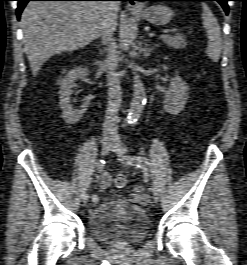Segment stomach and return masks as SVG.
I'll use <instances>...</instances> for the list:
<instances>
[{"mask_svg": "<svg viewBox=\"0 0 247 265\" xmlns=\"http://www.w3.org/2000/svg\"><path fill=\"white\" fill-rule=\"evenodd\" d=\"M134 13L154 25H165L173 17L172 10L161 4L152 5L143 11H135Z\"/></svg>", "mask_w": 247, "mask_h": 265, "instance_id": "obj_1", "label": "stomach"}]
</instances>
